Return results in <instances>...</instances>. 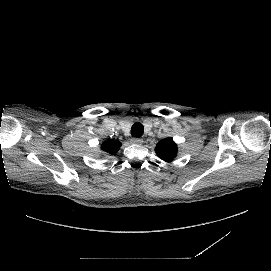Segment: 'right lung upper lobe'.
<instances>
[{"mask_svg":"<svg viewBox=\"0 0 271 271\" xmlns=\"http://www.w3.org/2000/svg\"><path fill=\"white\" fill-rule=\"evenodd\" d=\"M120 146H121V143L119 141H115L113 139H108L107 141H105L102 144L101 149L105 153H108L110 155H114L120 149Z\"/></svg>","mask_w":271,"mask_h":271,"instance_id":"right-lung-upper-lobe-1","label":"right lung upper lobe"}]
</instances>
